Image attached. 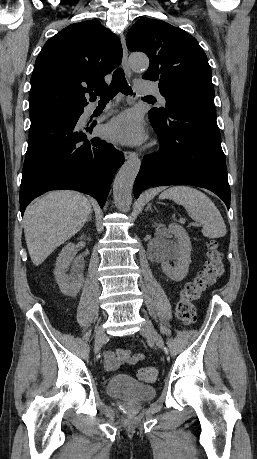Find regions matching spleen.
Returning <instances> with one entry per match:
<instances>
[{
	"label": "spleen",
	"instance_id": "1",
	"mask_svg": "<svg viewBox=\"0 0 257 459\" xmlns=\"http://www.w3.org/2000/svg\"><path fill=\"white\" fill-rule=\"evenodd\" d=\"M182 205L189 216L203 225L202 234L207 238H221L226 235L224 220L212 202L203 192L189 186H174L160 195Z\"/></svg>",
	"mask_w": 257,
	"mask_h": 459
}]
</instances>
